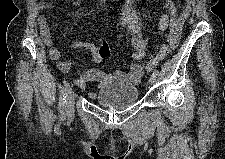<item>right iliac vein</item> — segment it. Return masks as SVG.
Instances as JSON below:
<instances>
[{"instance_id":"1","label":"right iliac vein","mask_w":225,"mask_h":159,"mask_svg":"<svg viewBox=\"0 0 225 159\" xmlns=\"http://www.w3.org/2000/svg\"><path fill=\"white\" fill-rule=\"evenodd\" d=\"M74 93L72 89L68 90L67 96H66V111L67 113H71L74 106Z\"/></svg>"}]
</instances>
